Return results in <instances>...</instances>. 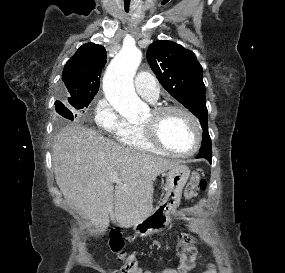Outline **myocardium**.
I'll use <instances>...</instances> for the list:
<instances>
[{
    "label": "myocardium",
    "mask_w": 285,
    "mask_h": 273,
    "mask_svg": "<svg viewBox=\"0 0 285 273\" xmlns=\"http://www.w3.org/2000/svg\"><path fill=\"white\" fill-rule=\"evenodd\" d=\"M152 114L158 118L166 113L169 112H179L182 113L183 115H185L190 122L192 123L193 127H194V131H195V141H194V145L192 147L191 150H189L188 152L185 153H181V152H176L174 150L169 149L160 139L157 130H156V126L155 124H150V125H140L141 130L145 136V138L147 139V141L153 145L155 148H157L158 150L169 154L171 156L174 157H179V158H188L191 157L193 155H195L200 147H201V143H202V127L201 124L199 122V120L197 119V117L187 108L180 106V105H159L154 107L151 110Z\"/></svg>",
    "instance_id": "myocardium-1"
}]
</instances>
